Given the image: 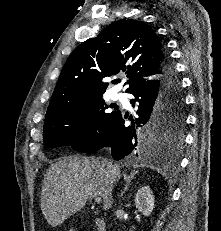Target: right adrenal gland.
<instances>
[{"mask_svg":"<svg viewBox=\"0 0 221 231\" xmlns=\"http://www.w3.org/2000/svg\"><path fill=\"white\" fill-rule=\"evenodd\" d=\"M135 174H137V171L131 172L130 175L123 174V178L126 181V184H125L124 190L121 192V196H123V194L125 193V191L128 190L129 185H130L132 179L134 178Z\"/></svg>","mask_w":221,"mask_h":231,"instance_id":"obj_1","label":"right adrenal gland"}]
</instances>
